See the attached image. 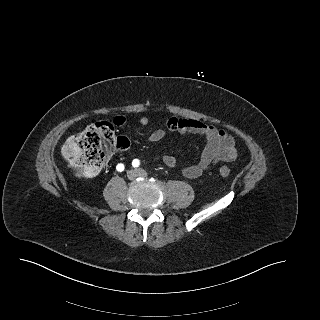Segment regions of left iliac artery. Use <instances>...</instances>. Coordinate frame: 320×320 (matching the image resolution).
Listing matches in <instances>:
<instances>
[{
	"label": "left iliac artery",
	"instance_id": "obj_1",
	"mask_svg": "<svg viewBox=\"0 0 320 320\" xmlns=\"http://www.w3.org/2000/svg\"><path fill=\"white\" fill-rule=\"evenodd\" d=\"M132 165L133 167H138L140 165V161L138 159H134Z\"/></svg>",
	"mask_w": 320,
	"mask_h": 320
}]
</instances>
